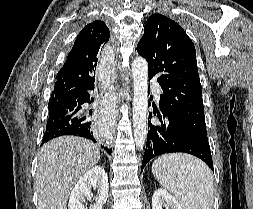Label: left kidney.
I'll list each match as a JSON object with an SVG mask.
<instances>
[{
	"label": "left kidney",
	"mask_w": 253,
	"mask_h": 209,
	"mask_svg": "<svg viewBox=\"0 0 253 209\" xmlns=\"http://www.w3.org/2000/svg\"><path fill=\"white\" fill-rule=\"evenodd\" d=\"M165 206H168L170 209H183L167 190L159 188L153 194L152 209H163Z\"/></svg>",
	"instance_id": "obj_1"
}]
</instances>
